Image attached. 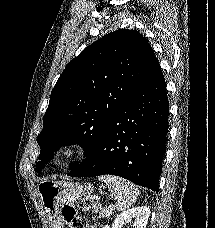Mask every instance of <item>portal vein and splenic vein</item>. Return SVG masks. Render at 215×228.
<instances>
[{
  "instance_id": "portal-vein-and-splenic-vein-1",
  "label": "portal vein and splenic vein",
  "mask_w": 215,
  "mask_h": 228,
  "mask_svg": "<svg viewBox=\"0 0 215 228\" xmlns=\"http://www.w3.org/2000/svg\"><path fill=\"white\" fill-rule=\"evenodd\" d=\"M109 208H110V210H112V208H113L112 204H111V206H109Z\"/></svg>"
}]
</instances>
